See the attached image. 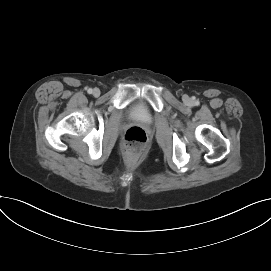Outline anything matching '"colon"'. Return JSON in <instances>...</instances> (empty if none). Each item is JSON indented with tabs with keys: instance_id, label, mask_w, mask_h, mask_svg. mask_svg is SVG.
<instances>
[{
	"instance_id": "1",
	"label": "colon",
	"mask_w": 271,
	"mask_h": 271,
	"mask_svg": "<svg viewBox=\"0 0 271 271\" xmlns=\"http://www.w3.org/2000/svg\"><path fill=\"white\" fill-rule=\"evenodd\" d=\"M124 140L127 155L136 157L145 150L148 137L143 128L134 126L126 131Z\"/></svg>"
}]
</instances>
